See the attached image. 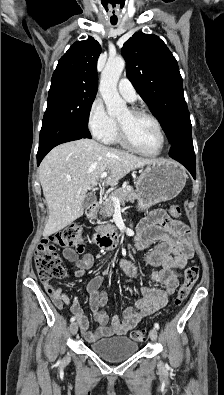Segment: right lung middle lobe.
<instances>
[{
    "instance_id": "right-lung-middle-lobe-1",
    "label": "right lung middle lobe",
    "mask_w": 224,
    "mask_h": 395,
    "mask_svg": "<svg viewBox=\"0 0 224 395\" xmlns=\"http://www.w3.org/2000/svg\"><path fill=\"white\" fill-rule=\"evenodd\" d=\"M96 93L97 89L62 80H51L45 114H56L87 128Z\"/></svg>"
}]
</instances>
